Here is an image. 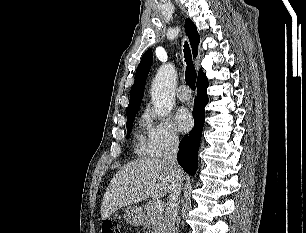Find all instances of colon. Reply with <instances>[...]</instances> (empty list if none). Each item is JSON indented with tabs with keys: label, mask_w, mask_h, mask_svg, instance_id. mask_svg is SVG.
I'll return each mask as SVG.
<instances>
[{
	"label": "colon",
	"mask_w": 306,
	"mask_h": 233,
	"mask_svg": "<svg viewBox=\"0 0 306 233\" xmlns=\"http://www.w3.org/2000/svg\"><path fill=\"white\" fill-rule=\"evenodd\" d=\"M100 233H119L117 222L108 221L103 223Z\"/></svg>",
	"instance_id": "5ec220e1"
}]
</instances>
